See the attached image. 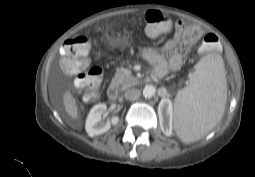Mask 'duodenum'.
Instances as JSON below:
<instances>
[{
  "label": "duodenum",
  "mask_w": 255,
  "mask_h": 177,
  "mask_svg": "<svg viewBox=\"0 0 255 177\" xmlns=\"http://www.w3.org/2000/svg\"><path fill=\"white\" fill-rule=\"evenodd\" d=\"M107 95L112 101H116L118 98V90L115 85H109L107 89Z\"/></svg>",
  "instance_id": "1"
}]
</instances>
